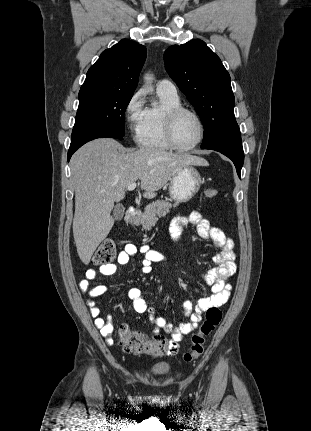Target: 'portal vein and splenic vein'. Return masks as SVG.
<instances>
[{"instance_id": "1", "label": "portal vein and splenic vein", "mask_w": 311, "mask_h": 431, "mask_svg": "<svg viewBox=\"0 0 311 431\" xmlns=\"http://www.w3.org/2000/svg\"><path fill=\"white\" fill-rule=\"evenodd\" d=\"M135 188H137V184H130V186H127L126 190L127 192H132Z\"/></svg>"}]
</instances>
